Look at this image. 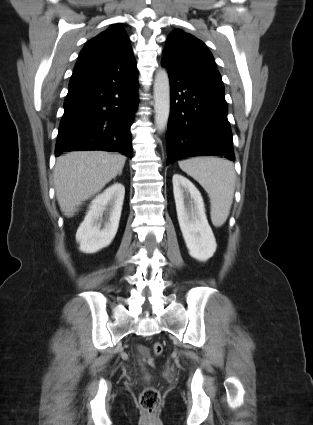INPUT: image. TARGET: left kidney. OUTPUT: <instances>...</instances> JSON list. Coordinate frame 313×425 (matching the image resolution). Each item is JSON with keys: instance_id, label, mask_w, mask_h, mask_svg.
Returning a JSON list of instances; mask_svg holds the SVG:
<instances>
[{"instance_id": "left-kidney-1", "label": "left kidney", "mask_w": 313, "mask_h": 425, "mask_svg": "<svg viewBox=\"0 0 313 425\" xmlns=\"http://www.w3.org/2000/svg\"><path fill=\"white\" fill-rule=\"evenodd\" d=\"M178 222L191 257L205 262L216 251V240L208 224L202 196L194 184L180 174L172 178Z\"/></svg>"}]
</instances>
